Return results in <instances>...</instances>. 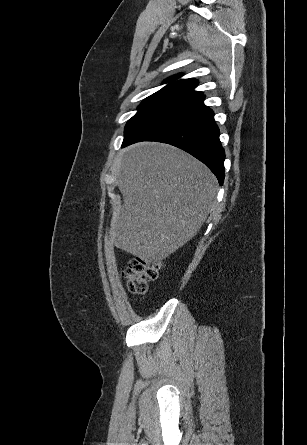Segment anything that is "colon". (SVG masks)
Wrapping results in <instances>:
<instances>
[{"label": "colon", "instance_id": "obj_1", "mask_svg": "<svg viewBox=\"0 0 307 445\" xmlns=\"http://www.w3.org/2000/svg\"><path fill=\"white\" fill-rule=\"evenodd\" d=\"M159 268V263H150L139 257L132 259L124 271L128 289L134 294H145L149 282L158 277Z\"/></svg>", "mask_w": 307, "mask_h": 445}]
</instances>
